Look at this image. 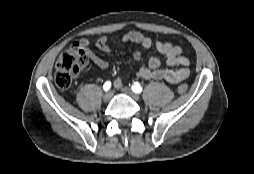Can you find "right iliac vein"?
<instances>
[{"instance_id": "obj_1", "label": "right iliac vein", "mask_w": 254, "mask_h": 174, "mask_svg": "<svg viewBox=\"0 0 254 174\" xmlns=\"http://www.w3.org/2000/svg\"><path fill=\"white\" fill-rule=\"evenodd\" d=\"M112 97H113V92H112V91H109V92H107V93L104 94L103 100L106 101V102H108V101H110V100L112 99Z\"/></svg>"}]
</instances>
